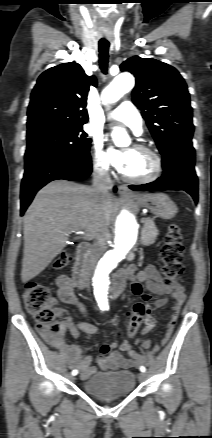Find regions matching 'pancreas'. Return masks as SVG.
I'll list each match as a JSON object with an SVG mask.
<instances>
[{"instance_id":"1","label":"pancreas","mask_w":212,"mask_h":438,"mask_svg":"<svg viewBox=\"0 0 212 438\" xmlns=\"http://www.w3.org/2000/svg\"><path fill=\"white\" fill-rule=\"evenodd\" d=\"M145 224L141 230V244L144 246H149L153 244L159 234L158 229L152 219H145Z\"/></svg>"}]
</instances>
